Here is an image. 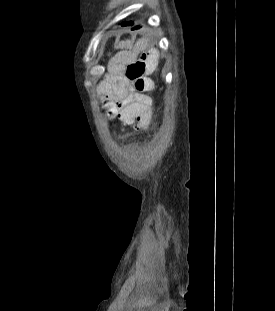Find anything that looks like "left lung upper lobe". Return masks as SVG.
<instances>
[{
	"label": "left lung upper lobe",
	"instance_id": "5c2ea615",
	"mask_svg": "<svg viewBox=\"0 0 275 311\" xmlns=\"http://www.w3.org/2000/svg\"><path fill=\"white\" fill-rule=\"evenodd\" d=\"M133 22L132 21H130V22H123L121 25L122 26H129V25H131Z\"/></svg>",
	"mask_w": 275,
	"mask_h": 311
}]
</instances>
